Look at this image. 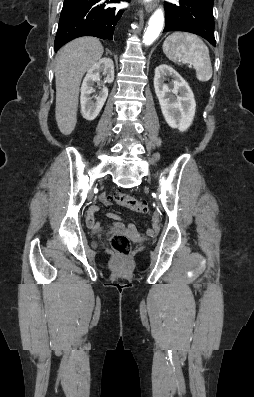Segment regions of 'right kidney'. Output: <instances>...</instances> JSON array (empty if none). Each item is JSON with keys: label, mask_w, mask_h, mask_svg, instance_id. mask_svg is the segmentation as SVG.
<instances>
[{"label": "right kidney", "mask_w": 254, "mask_h": 397, "mask_svg": "<svg viewBox=\"0 0 254 397\" xmlns=\"http://www.w3.org/2000/svg\"><path fill=\"white\" fill-rule=\"evenodd\" d=\"M105 75V83L114 81V64L110 58H102L88 70L81 86V112L86 120H94L101 111L107 97L108 89L104 87L96 96L93 86L96 81L100 80V74ZM94 98V100H93Z\"/></svg>", "instance_id": "1"}]
</instances>
